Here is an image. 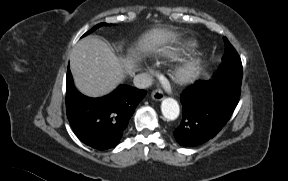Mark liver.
I'll list each match as a JSON object with an SVG mask.
<instances>
[{"mask_svg":"<svg viewBox=\"0 0 288 181\" xmlns=\"http://www.w3.org/2000/svg\"><path fill=\"white\" fill-rule=\"evenodd\" d=\"M178 34L166 28H153L139 41L136 50L148 52L160 46L176 43ZM119 58L107 43L95 37L81 39L70 53V70L76 87L83 94L99 97L111 92L121 83L125 74H132L139 59Z\"/></svg>","mask_w":288,"mask_h":181,"instance_id":"6515ba94","label":"liver"}]
</instances>
